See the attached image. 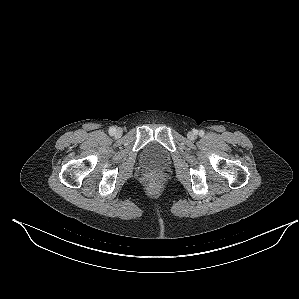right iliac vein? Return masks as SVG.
Listing matches in <instances>:
<instances>
[{
    "label": "right iliac vein",
    "instance_id": "1",
    "mask_svg": "<svg viewBox=\"0 0 299 299\" xmlns=\"http://www.w3.org/2000/svg\"><path fill=\"white\" fill-rule=\"evenodd\" d=\"M122 135V131L121 130H116V132H115V136L116 137H120Z\"/></svg>",
    "mask_w": 299,
    "mask_h": 299
}]
</instances>
